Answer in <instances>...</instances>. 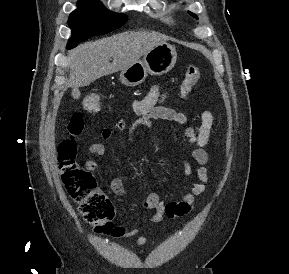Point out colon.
Segmentation results:
<instances>
[{
	"label": "colon",
	"instance_id": "obj_1",
	"mask_svg": "<svg viewBox=\"0 0 289 274\" xmlns=\"http://www.w3.org/2000/svg\"><path fill=\"white\" fill-rule=\"evenodd\" d=\"M200 79L199 68L189 65L184 72L180 86L182 97L189 95ZM82 108L88 113H97L101 109V97L98 93H88L81 100ZM84 127L80 115H74L69 124L70 136L62 140L58 146L59 168L62 182L70 197L78 204L84 219L98 233L112 231L113 206L97 185L91 172L85 170L76 160L77 144L75 137L80 135Z\"/></svg>",
	"mask_w": 289,
	"mask_h": 274
}]
</instances>
